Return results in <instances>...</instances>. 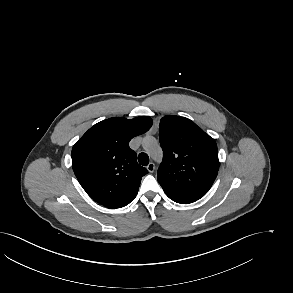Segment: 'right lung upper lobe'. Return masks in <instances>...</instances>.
<instances>
[{"label":"right lung upper lobe","mask_w":293,"mask_h":293,"mask_svg":"<svg viewBox=\"0 0 293 293\" xmlns=\"http://www.w3.org/2000/svg\"><path fill=\"white\" fill-rule=\"evenodd\" d=\"M150 117H114L95 124L73 146L72 168L97 203L120 208L137 195L147 169L137 163L129 141L150 129Z\"/></svg>","instance_id":"cb5924a9"}]
</instances>
